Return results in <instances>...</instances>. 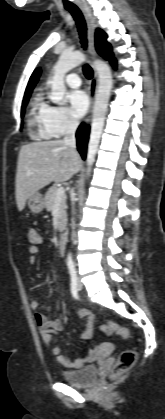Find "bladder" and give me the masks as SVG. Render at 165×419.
Masks as SVG:
<instances>
[{"instance_id": "31cf9c89", "label": "bladder", "mask_w": 165, "mask_h": 419, "mask_svg": "<svg viewBox=\"0 0 165 419\" xmlns=\"http://www.w3.org/2000/svg\"><path fill=\"white\" fill-rule=\"evenodd\" d=\"M61 376L71 386L86 387L97 381L99 368L96 365L85 366L78 370L63 371Z\"/></svg>"}]
</instances>
